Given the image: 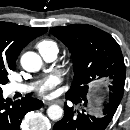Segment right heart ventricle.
<instances>
[{
    "label": "right heart ventricle",
    "instance_id": "1",
    "mask_svg": "<svg viewBox=\"0 0 130 130\" xmlns=\"http://www.w3.org/2000/svg\"><path fill=\"white\" fill-rule=\"evenodd\" d=\"M37 48L41 54L50 50H58L57 44L50 39H43L39 41L37 44Z\"/></svg>",
    "mask_w": 130,
    "mask_h": 130
}]
</instances>
